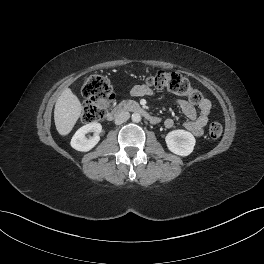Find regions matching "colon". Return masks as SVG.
Segmentation results:
<instances>
[{"instance_id": "5ec220e1", "label": "colon", "mask_w": 264, "mask_h": 264, "mask_svg": "<svg viewBox=\"0 0 264 264\" xmlns=\"http://www.w3.org/2000/svg\"><path fill=\"white\" fill-rule=\"evenodd\" d=\"M145 84L148 87L166 89L184 96L193 104H199L203 99L201 92L178 73L159 70L147 76ZM82 95L85 99L82 120L85 123L102 120L115 97L109 80L101 75H93L87 79L82 87ZM208 134L212 139L219 138L222 134V125L219 122H212Z\"/></svg>"}]
</instances>
